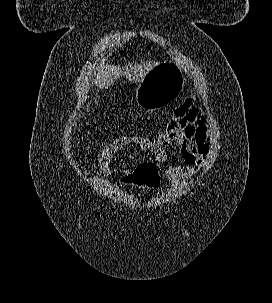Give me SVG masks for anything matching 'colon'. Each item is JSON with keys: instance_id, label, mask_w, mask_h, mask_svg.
Listing matches in <instances>:
<instances>
[{"instance_id": "colon-1", "label": "colon", "mask_w": 272, "mask_h": 303, "mask_svg": "<svg viewBox=\"0 0 272 303\" xmlns=\"http://www.w3.org/2000/svg\"><path fill=\"white\" fill-rule=\"evenodd\" d=\"M113 141V140H112ZM106 145L96 158V164L101 169L106 159V153L112 143ZM134 184L138 186L155 187L158 184V172L154 165L143 164L139 166L133 176Z\"/></svg>"}]
</instances>
